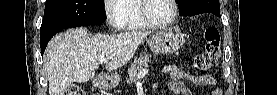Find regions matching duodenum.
<instances>
[{
	"instance_id": "410a0bca",
	"label": "duodenum",
	"mask_w": 277,
	"mask_h": 95,
	"mask_svg": "<svg viewBox=\"0 0 277 95\" xmlns=\"http://www.w3.org/2000/svg\"><path fill=\"white\" fill-rule=\"evenodd\" d=\"M104 81H105V78H104L103 76L98 77L97 86H98L99 88H103V87H104Z\"/></svg>"
}]
</instances>
